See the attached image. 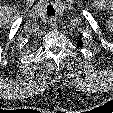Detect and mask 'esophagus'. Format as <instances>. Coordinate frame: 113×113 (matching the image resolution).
<instances>
[{"instance_id":"34e87169","label":"esophagus","mask_w":113,"mask_h":113,"mask_svg":"<svg viewBox=\"0 0 113 113\" xmlns=\"http://www.w3.org/2000/svg\"><path fill=\"white\" fill-rule=\"evenodd\" d=\"M48 24L51 30H55L57 28V21L55 18H50Z\"/></svg>"}]
</instances>
